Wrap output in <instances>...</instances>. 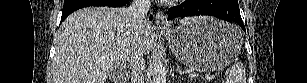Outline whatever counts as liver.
<instances>
[{
    "mask_svg": "<svg viewBox=\"0 0 307 83\" xmlns=\"http://www.w3.org/2000/svg\"><path fill=\"white\" fill-rule=\"evenodd\" d=\"M131 24L127 7H85L69 15L56 40L54 83H105L113 69L128 61ZM154 38L148 22L141 36L144 54L152 50Z\"/></svg>",
    "mask_w": 307,
    "mask_h": 83,
    "instance_id": "liver-1",
    "label": "liver"
}]
</instances>
